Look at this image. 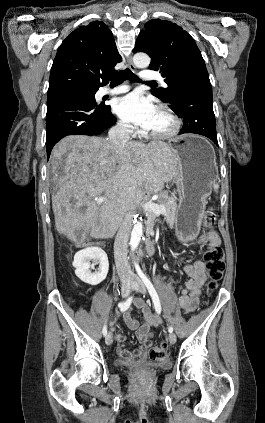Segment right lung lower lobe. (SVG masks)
<instances>
[{"label": "right lung lower lobe", "instance_id": "obj_1", "mask_svg": "<svg viewBox=\"0 0 265 423\" xmlns=\"http://www.w3.org/2000/svg\"><path fill=\"white\" fill-rule=\"evenodd\" d=\"M98 88L65 90L48 94L46 148L49 159L53 146L68 135H98L116 123L110 106L96 105L88 93Z\"/></svg>", "mask_w": 265, "mask_h": 423}]
</instances>
